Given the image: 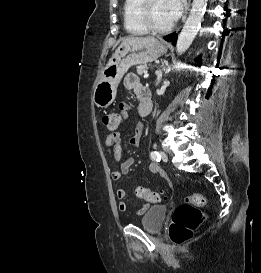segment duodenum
Returning a JSON list of instances; mask_svg holds the SVG:
<instances>
[{"instance_id":"410a0bca","label":"duodenum","mask_w":261,"mask_h":273,"mask_svg":"<svg viewBox=\"0 0 261 273\" xmlns=\"http://www.w3.org/2000/svg\"><path fill=\"white\" fill-rule=\"evenodd\" d=\"M151 110V96L148 90H146L141 98V103H140V114L141 116H146L149 114Z\"/></svg>"}]
</instances>
